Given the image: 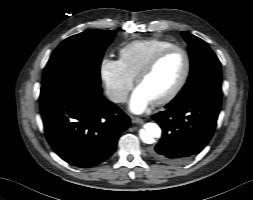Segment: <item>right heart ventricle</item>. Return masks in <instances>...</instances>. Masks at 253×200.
Returning a JSON list of instances; mask_svg holds the SVG:
<instances>
[{"instance_id": "obj_1", "label": "right heart ventricle", "mask_w": 253, "mask_h": 200, "mask_svg": "<svg viewBox=\"0 0 253 200\" xmlns=\"http://www.w3.org/2000/svg\"><path fill=\"white\" fill-rule=\"evenodd\" d=\"M174 46V43L158 38L134 40L120 48L119 61L125 72L135 78L156 54Z\"/></svg>"}]
</instances>
